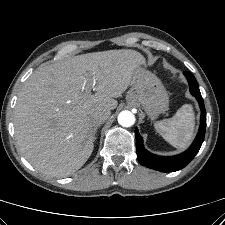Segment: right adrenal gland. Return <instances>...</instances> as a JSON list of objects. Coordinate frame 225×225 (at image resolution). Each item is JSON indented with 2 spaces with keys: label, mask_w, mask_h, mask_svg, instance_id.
I'll return each mask as SVG.
<instances>
[{
  "label": "right adrenal gland",
  "mask_w": 225,
  "mask_h": 225,
  "mask_svg": "<svg viewBox=\"0 0 225 225\" xmlns=\"http://www.w3.org/2000/svg\"><path fill=\"white\" fill-rule=\"evenodd\" d=\"M100 127V124H97L94 126V131H93V140L95 141L97 139L96 134H97V130Z\"/></svg>",
  "instance_id": "2a0ac1e0"
}]
</instances>
